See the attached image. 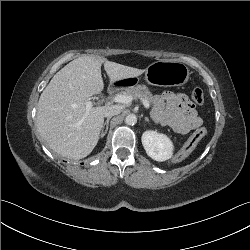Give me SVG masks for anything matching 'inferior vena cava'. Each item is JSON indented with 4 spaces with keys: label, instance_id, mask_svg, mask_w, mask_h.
I'll return each instance as SVG.
<instances>
[{
    "label": "inferior vena cava",
    "instance_id": "obj_1",
    "mask_svg": "<svg viewBox=\"0 0 250 250\" xmlns=\"http://www.w3.org/2000/svg\"><path fill=\"white\" fill-rule=\"evenodd\" d=\"M122 111V107L119 105H111L108 106L107 110L105 111V117H112L115 115L120 114Z\"/></svg>",
    "mask_w": 250,
    "mask_h": 250
}]
</instances>
